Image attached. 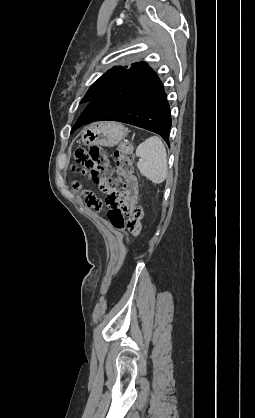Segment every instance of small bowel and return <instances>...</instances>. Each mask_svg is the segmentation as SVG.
Returning a JSON list of instances; mask_svg holds the SVG:
<instances>
[{
  "label": "small bowel",
  "instance_id": "obj_1",
  "mask_svg": "<svg viewBox=\"0 0 255 418\" xmlns=\"http://www.w3.org/2000/svg\"><path fill=\"white\" fill-rule=\"evenodd\" d=\"M122 196L126 208H132L138 196V182L135 177L129 178L122 186ZM134 236H142L144 231L142 229H134L132 231Z\"/></svg>",
  "mask_w": 255,
  "mask_h": 418
}]
</instances>
